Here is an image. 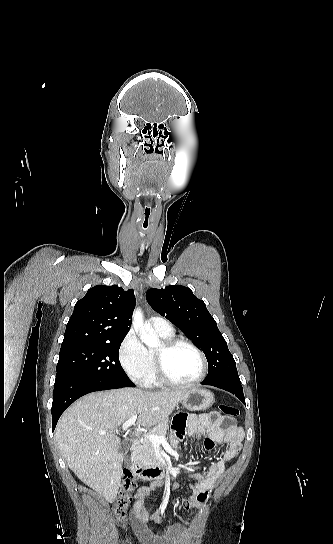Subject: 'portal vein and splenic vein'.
I'll use <instances>...</instances> for the list:
<instances>
[{
  "mask_svg": "<svg viewBox=\"0 0 333 544\" xmlns=\"http://www.w3.org/2000/svg\"><path fill=\"white\" fill-rule=\"evenodd\" d=\"M136 419H137V414L133 415L131 418H129L123 425H122V429L123 430H127L130 426H132L135 422H136ZM101 434H108L107 432L103 431L101 432ZM146 438H148L153 444H160V443H164L166 442V438L163 437V436H158V435H153V434H149V435H145Z\"/></svg>",
  "mask_w": 333,
  "mask_h": 544,
  "instance_id": "1",
  "label": "portal vein and splenic vein"
}]
</instances>
